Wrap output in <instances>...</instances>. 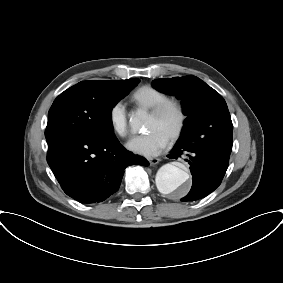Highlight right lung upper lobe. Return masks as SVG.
I'll return each mask as SVG.
<instances>
[{
  "label": "right lung upper lobe",
  "mask_w": 283,
  "mask_h": 283,
  "mask_svg": "<svg viewBox=\"0 0 283 283\" xmlns=\"http://www.w3.org/2000/svg\"><path fill=\"white\" fill-rule=\"evenodd\" d=\"M117 81H119V80H116V81H114V80H109V81H101V82L113 83V82H117Z\"/></svg>",
  "instance_id": "cb5924a9"
}]
</instances>
